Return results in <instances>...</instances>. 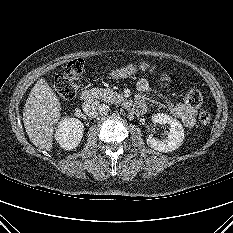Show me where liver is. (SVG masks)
Masks as SVG:
<instances>
[{
	"mask_svg": "<svg viewBox=\"0 0 233 233\" xmlns=\"http://www.w3.org/2000/svg\"><path fill=\"white\" fill-rule=\"evenodd\" d=\"M61 102L45 79L32 88L23 111V123L30 141L40 149L52 151L53 132L61 116Z\"/></svg>",
	"mask_w": 233,
	"mask_h": 233,
	"instance_id": "1",
	"label": "liver"
}]
</instances>
